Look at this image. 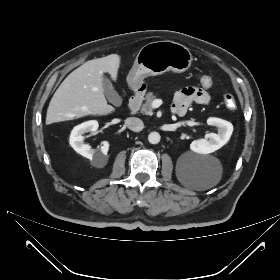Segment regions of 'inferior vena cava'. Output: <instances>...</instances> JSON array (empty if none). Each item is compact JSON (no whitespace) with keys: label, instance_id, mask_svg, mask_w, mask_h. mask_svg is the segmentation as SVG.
I'll return each mask as SVG.
<instances>
[{"label":"inferior vena cava","instance_id":"obj_1","mask_svg":"<svg viewBox=\"0 0 280 280\" xmlns=\"http://www.w3.org/2000/svg\"><path fill=\"white\" fill-rule=\"evenodd\" d=\"M128 128L134 132H139L144 128V123L141 119L136 117H130L125 120Z\"/></svg>","mask_w":280,"mask_h":280}]
</instances>
